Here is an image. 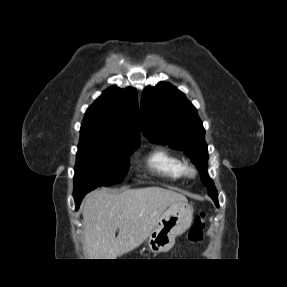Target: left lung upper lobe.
Masks as SVG:
<instances>
[{
  "label": "left lung upper lobe",
  "instance_id": "1",
  "mask_svg": "<svg viewBox=\"0 0 287 287\" xmlns=\"http://www.w3.org/2000/svg\"><path fill=\"white\" fill-rule=\"evenodd\" d=\"M140 125L151 141L169 144L188 155L201 174L208 195L218 207V194L207 173L205 130L196 108L185 95L167 82L143 91Z\"/></svg>",
  "mask_w": 287,
  "mask_h": 287
}]
</instances>
